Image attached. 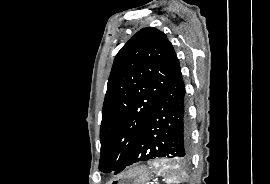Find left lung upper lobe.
Segmentation results:
<instances>
[{
    "instance_id": "left-lung-upper-lobe-1",
    "label": "left lung upper lobe",
    "mask_w": 270,
    "mask_h": 184,
    "mask_svg": "<svg viewBox=\"0 0 270 184\" xmlns=\"http://www.w3.org/2000/svg\"><path fill=\"white\" fill-rule=\"evenodd\" d=\"M179 68L166 35L138 31L118 52L108 80L100 127L102 172H121L164 89Z\"/></svg>"
}]
</instances>
